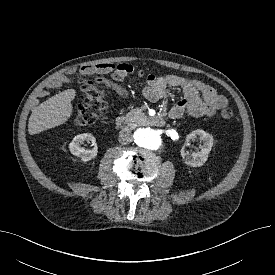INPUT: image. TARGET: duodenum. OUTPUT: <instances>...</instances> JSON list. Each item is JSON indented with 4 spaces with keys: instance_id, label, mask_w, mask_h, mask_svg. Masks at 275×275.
<instances>
[{
    "instance_id": "duodenum-1",
    "label": "duodenum",
    "mask_w": 275,
    "mask_h": 275,
    "mask_svg": "<svg viewBox=\"0 0 275 275\" xmlns=\"http://www.w3.org/2000/svg\"><path fill=\"white\" fill-rule=\"evenodd\" d=\"M147 121L150 125L155 127H162L166 123V120L163 117H152L149 118ZM115 124L117 128L125 130L132 124V120L126 116H119L116 118Z\"/></svg>"
}]
</instances>
